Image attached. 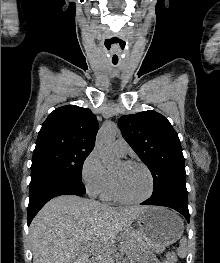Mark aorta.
Listing matches in <instances>:
<instances>
[{
    "instance_id": "aorta-1",
    "label": "aorta",
    "mask_w": 220,
    "mask_h": 263,
    "mask_svg": "<svg viewBox=\"0 0 220 263\" xmlns=\"http://www.w3.org/2000/svg\"><path fill=\"white\" fill-rule=\"evenodd\" d=\"M116 130L115 124H106L100 129L96 138V148L106 167H110L118 161L113 153V141Z\"/></svg>"
}]
</instances>
